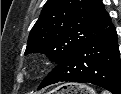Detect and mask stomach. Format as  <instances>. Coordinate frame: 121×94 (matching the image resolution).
Wrapping results in <instances>:
<instances>
[{
  "mask_svg": "<svg viewBox=\"0 0 121 94\" xmlns=\"http://www.w3.org/2000/svg\"><path fill=\"white\" fill-rule=\"evenodd\" d=\"M47 94H96V92L87 85L66 83L60 85Z\"/></svg>",
  "mask_w": 121,
  "mask_h": 94,
  "instance_id": "obj_1",
  "label": "stomach"
}]
</instances>
